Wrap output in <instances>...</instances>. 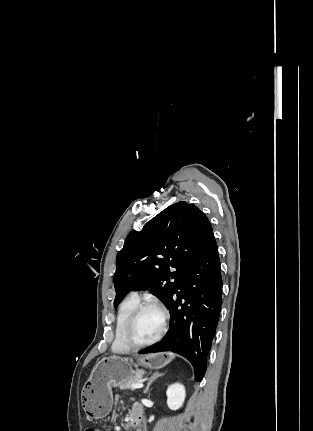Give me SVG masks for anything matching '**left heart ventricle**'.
Masks as SVG:
<instances>
[{
	"mask_svg": "<svg viewBox=\"0 0 313 431\" xmlns=\"http://www.w3.org/2000/svg\"><path fill=\"white\" fill-rule=\"evenodd\" d=\"M162 326L161 313L155 308H147L139 315L133 338L137 342H146L154 338Z\"/></svg>",
	"mask_w": 313,
	"mask_h": 431,
	"instance_id": "b2bd125f",
	"label": "left heart ventricle"
}]
</instances>
